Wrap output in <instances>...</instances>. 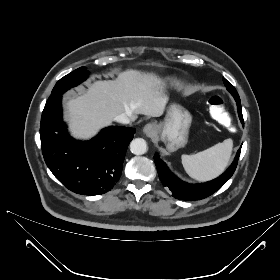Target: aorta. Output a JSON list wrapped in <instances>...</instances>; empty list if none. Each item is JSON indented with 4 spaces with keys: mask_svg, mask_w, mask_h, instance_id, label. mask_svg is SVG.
<instances>
[{
    "mask_svg": "<svg viewBox=\"0 0 280 280\" xmlns=\"http://www.w3.org/2000/svg\"><path fill=\"white\" fill-rule=\"evenodd\" d=\"M130 151L135 155H142L147 151V143L142 138L133 139L130 143Z\"/></svg>",
    "mask_w": 280,
    "mask_h": 280,
    "instance_id": "762f6f07",
    "label": "aorta"
}]
</instances>
